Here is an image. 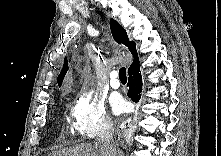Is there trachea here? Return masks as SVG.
Instances as JSON below:
<instances>
[{
    "label": "trachea",
    "instance_id": "1",
    "mask_svg": "<svg viewBox=\"0 0 221 156\" xmlns=\"http://www.w3.org/2000/svg\"><path fill=\"white\" fill-rule=\"evenodd\" d=\"M119 79H120L121 81H126V80H127L125 67H121V68H120V70H119Z\"/></svg>",
    "mask_w": 221,
    "mask_h": 156
}]
</instances>
